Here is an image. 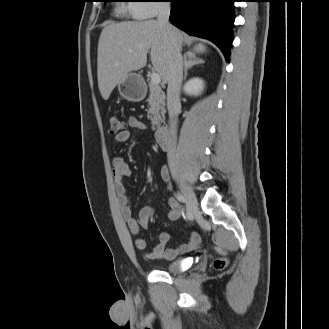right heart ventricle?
Instances as JSON below:
<instances>
[{
	"mask_svg": "<svg viewBox=\"0 0 329 329\" xmlns=\"http://www.w3.org/2000/svg\"><path fill=\"white\" fill-rule=\"evenodd\" d=\"M130 6H131V4H125V3H122V4H120V9L122 10V11H124V10H126L127 8H129L130 9Z\"/></svg>",
	"mask_w": 329,
	"mask_h": 329,
	"instance_id": "obj_1",
	"label": "right heart ventricle"
}]
</instances>
